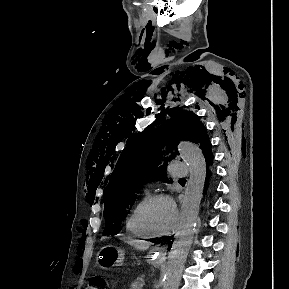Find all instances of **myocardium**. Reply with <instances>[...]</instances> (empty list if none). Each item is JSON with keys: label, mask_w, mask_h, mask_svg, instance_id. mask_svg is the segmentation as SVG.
<instances>
[{"label": "myocardium", "mask_w": 289, "mask_h": 289, "mask_svg": "<svg viewBox=\"0 0 289 289\" xmlns=\"http://www.w3.org/2000/svg\"><path fill=\"white\" fill-rule=\"evenodd\" d=\"M158 200L169 201L172 204L173 211H174V220L172 222V225L167 230L161 231V232L152 229L146 220V216H147L149 208L151 207L152 204H154ZM138 220H139V223H140L141 227L143 228V230L149 236H151V237H163V236H167V235L171 234L175 230V228L177 227L178 212L176 210V207H175L173 201L171 200V198L167 194L155 193V194L148 196L147 199L145 200V202L143 203L142 207L140 208L139 214H138Z\"/></svg>", "instance_id": "myocardium-1"}]
</instances>
